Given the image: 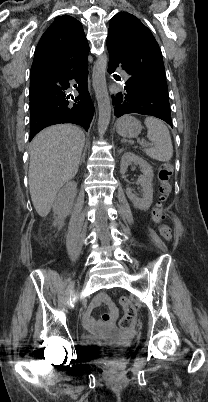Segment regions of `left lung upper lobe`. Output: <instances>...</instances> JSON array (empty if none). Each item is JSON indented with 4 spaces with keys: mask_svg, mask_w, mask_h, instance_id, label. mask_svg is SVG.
I'll use <instances>...</instances> for the list:
<instances>
[{
    "mask_svg": "<svg viewBox=\"0 0 208 402\" xmlns=\"http://www.w3.org/2000/svg\"><path fill=\"white\" fill-rule=\"evenodd\" d=\"M107 39L129 55L132 78L169 98L161 49L149 28L134 15L120 12L111 19Z\"/></svg>",
    "mask_w": 208,
    "mask_h": 402,
    "instance_id": "1",
    "label": "left lung upper lobe"
}]
</instances>
